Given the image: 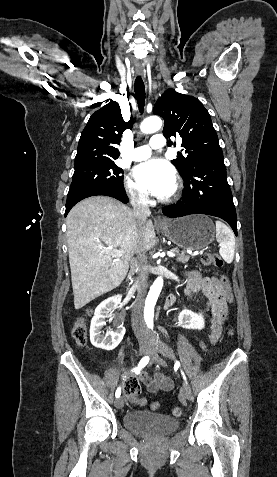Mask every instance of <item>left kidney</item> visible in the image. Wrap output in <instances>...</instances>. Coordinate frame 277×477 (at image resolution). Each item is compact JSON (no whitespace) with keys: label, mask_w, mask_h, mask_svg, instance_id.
I'll return each instance as SVG.
<instances>
[{"label":"left kidney","mask_w":277,"mask_h":477,"mask_svg":"<svg viewBox=\"0 0 277 477\" xmlns=\"http://www.w3.org/2000/svg\"><path fill=\"white\" fill-rule=\"evenodd\" d=\"M179 323L183 328L201 330L205 326L203 315L194 314L190 310L184 309L178 317Z\"/></svg>","instance_id":"obj_1"}]
</instances>
